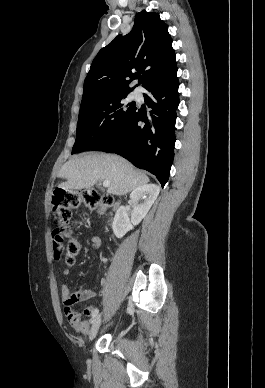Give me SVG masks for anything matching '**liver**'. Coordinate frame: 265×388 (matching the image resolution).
Returning <instances> with one entry per match:
<instances>
[{
    "label": "liver",
    "mask_w": 265,
    "mask_h": 388,
    "mask_svg": "<svg viewBox=\"0 0 265 388\" xmlns=\"http://www.w3.org/2000/svg\"><path fill=\"white\" fill-rule=\"evenodd\" d=\"M58 176L66 178L67 182L59 184V188L67 192L92 188L97 182L108 180L110 186L107 194L114 196H125L149 182L148 176L136 172L130 162L111 154H89L82 158H72L62 166Z\"/></svg>",
    "instance_id": "6515ba94"
}]
</instances>
